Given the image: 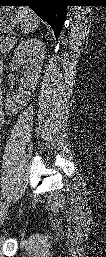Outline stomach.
Wrapping results in <instances>:
<instances>
[{"label":"stomach","mask_w":106,"mask_h":257,"mask_svg":"<svg viewBox=\"0 0 106 257\" xmlns=\"http://www.w3.org/2000/svg\"><path fill=\"white\" fill-rule=\"evenodd\" d=\"M20 23L18 9L14 7H1L0 9V32L9 33Z\"/></svg>","instance_id":"obj_1"}]
</instances>
